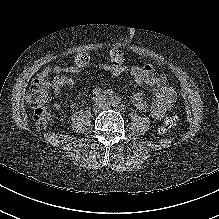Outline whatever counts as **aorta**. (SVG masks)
I'll list each match as a JSON object with an SVG mask.
<instances>
[{
    "mask_svg": "<svg viewBox=\"0 0 219 219\" xmlns=\"http://www.w3.org/2000/svg\"><path fill=\"white\" fill-rule=\"evenodd\" d=\"M120 103V98L119 97H113L111 98L110 104L112 106H117Z\"/></svg>",
    "mask_w": 219,
    "mask_h": 219,
    "instance_id": "aorta-1",
    "label": "aorta"
}]
</instances>
